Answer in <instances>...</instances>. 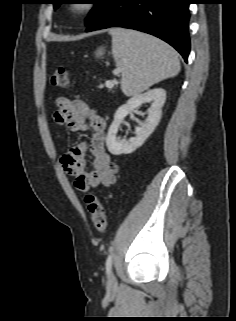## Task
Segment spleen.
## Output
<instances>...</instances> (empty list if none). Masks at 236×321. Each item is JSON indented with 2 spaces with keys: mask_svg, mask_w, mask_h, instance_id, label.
<instances>
[{
  "mask_svg": "<svg viewBox=\"0 0 236 321\" xmlns=\"http://www.w3.org/2000/svg\"><path fill=\"white\" fill-rule=\"evenodd\" d=\"M109 33L112 54L122 74L121 89L126 96H136L179 73L176 51L160 39L122 28L111 29Z\"/></svg>",
  "mask_w": 236,
  "mask_h": 321,
  "instance_id": "obj_1",
  "label": "spleen"
}]
</instances>
